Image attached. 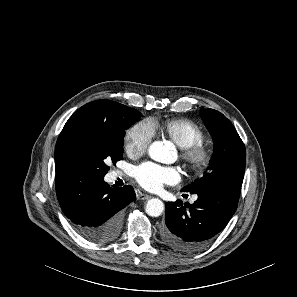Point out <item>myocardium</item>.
<instances>
[{
	"label": "myocardium",
	"instance_id": "1",
	"mask_svg": "<svg viewBox=\"0 0 297 297\" xmlns=\"http://www.w3.org/2000/svg\"><path fill=\"white\" fill-rule=\"evenodd\" d=\"M213 158L212 147L202 141L181 148V159L185 166L194 174H201L210 165Z\"/></svg>",
	"mask_w": 297,
	"mask_h": 297
}]
</instances>
